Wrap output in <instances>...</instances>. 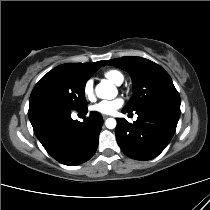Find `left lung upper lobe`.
Wrapping results in <instances>:
<instances>
[{
	"mask_svg": "<svg viewBox=\"0 0 210 210\" xmlns=\"http://www.w3.org/2000/svg\"><path fill=\"white\" fill-rule=\"evenodd\" d=\"M106 64L124 69L132 77L133 96L125 110L133 112L154 104L180 106L171 77L158 64L142 57H121L107 60Z\"/></svg>",
	"mask_w": 210,
	"mask_h": 210,
	"instance_id": "obj_1",
	"label": "left lung upper lobe"
}]
</instances>
